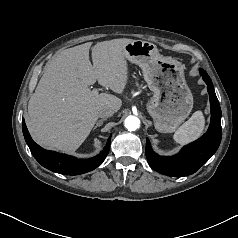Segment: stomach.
Here are the masks:
<instances>
[{"instance_id": "stomach-1", "label": "stomach", "mask_w": 238, "mask_h": 238, "mask_svg": "<svg viewBox=\"0 0 238 238\" xmlns=\"http://www.w3.org/2000/svg\"><path fill=\"white\" fill-rule=\"evenodd\" d=\"M125 57L137 64L153 92L147 111L155 128L162 133H172L184 122L193 108V96L186 83L181 62L159 53L156 45L134 40L124 46Z\"/></svg>"}]
</instances>
